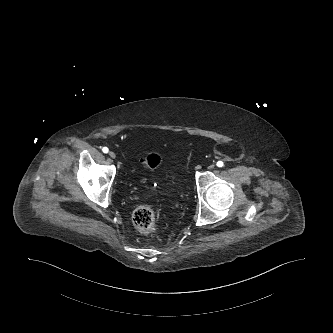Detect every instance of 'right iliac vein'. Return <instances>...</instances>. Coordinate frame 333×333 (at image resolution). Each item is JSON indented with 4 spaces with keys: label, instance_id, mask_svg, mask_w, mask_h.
Here are the masks:
<instances>
[{
    "label": "right iliac vein",
    "instance_id": "obj_1",
    "mask_svg": "<svg viewBox=\"0 0 333 333\" xmlns=\"http://www.w3.org/2000/svg\"><path fill=\"white\" fill-rule=\"evenodd\" d=\"M109 156L114 159L116 157V154L113 151L109 152Z\"/></svg>",
    "mask_w": 333,
    "mask_h": 333
}]
</instances>
